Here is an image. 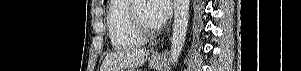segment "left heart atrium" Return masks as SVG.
Wrapping results in <instances>:
<instances>
[{
    "label": "left heart atrium",
    "instance_id": "obj_1",
    "mask_svg": "<svg viewBox=\"0 0 301 71\" xmlns=\"http://www.w3.org/2000/svg\"><path fill=\"white\" fill-rule=\"evenodd\" d=\"M150 17L155 27H161L171 13L169 0H149Z\"/></svg>",
    "mask_w": 301,
    "mask_h": 71
}]
</instances>
